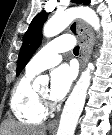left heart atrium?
Here are the masks:
<instances>
[{
  "label": "left heart atrium",
  "instance_id": "left-heart-atrium-1",
  "mask_svg": "<svg viewBox=\"0 0 112 135\" xmlns=\"http://www.w3.org/2000/svg\"><path fill=\"white\" fill-rule=\"evenodd\" d=\"M76 72L73 67L63 64L51 73L49 96L54 101L62 100L69 91Z\"/></svg>",
  "mask_w": 112,
  "mask_h": 135
}]
</instances>
